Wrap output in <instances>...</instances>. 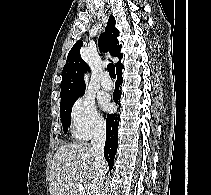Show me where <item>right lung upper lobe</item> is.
I'll use <instances>...</instances> for the list:
<instances>
[{
    "mask_svg": "<svg viewBox=\"0 0 211 195\" xmlns=\"http://www.w3.org/2000/svg\"><path fill=\"white\" fill-rule=\"evenodd\" d=\"M118 29L115 28V19L109 17L105 32L99 38V48L101 52H109L112 56L118 57L116 71L123 68L120 62L123 55L120 53L121 45L118 44ZM82 41H77L67 56V62L63 68L61 82V103L79 98L85 92L83 73L88 71V65L81 58L80 48Z\"/></svg>",
    "mask_w": 211,
    "mask_h": 195,
    "instance_id": "cb5924a9",
    "label": "right lung upper lobe"
}]
</instances>
